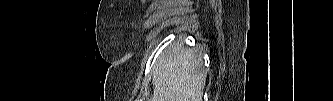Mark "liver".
I'll use <instances>...</instances> for the list:
<instances>
[{"label": "liver", "instance_id": "1", "mask_svg": "<svg viewBox=\"0 0 333 101\" xmlns=\"http://www.w3.org/2000/svg\"><path fill=\"white\" fill-rule=\"evenodd\" d=\"M206 76L200 51L172 46L153 71L151 101H202Z\"/></svg>", "mask_w": 333, "mask_h": 101}]
</instances>
